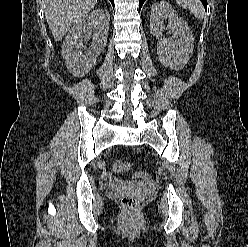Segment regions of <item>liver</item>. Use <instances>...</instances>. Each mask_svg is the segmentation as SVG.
Listing matches in <instances>:
<instances>
[{"mask_svg": "<svg viewBox=\"0 0 248 247\" xmlns=\"http://www.w3.org/2000/svg\"><path fill=\"white\" fill-rule=\"evenodd\" d=\"M97 0H44L47 23L56 41L96 5Z\"/></svg>", "mask_w": 248, "mask_h": 247, "instance_id": "liver-1", "label": "liver"}]
</instances>
